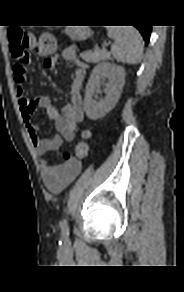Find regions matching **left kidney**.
Returning a JSON list of instances; mask_svg holds the SVG:
<instances>
[{
    "instance_id": "obj_1",
    "label": "left kidney",
    "mask_w": 184,
    "mask_h": 292,
    "mask_svg": "<svg viewBox=\"0 0 184 292\" xmlns=\"http://www.w3.org/2000/svg\"><path fill=\"white\" fill-rule=\"evenodd\" d=\"M107 79L105 98L96 101L94 95L101 92L102 80ZM125 84V70L111 62H102L94 67L86 85L84 109L91 120L104 117L116 105Z\"/></svg>"
}]
</instances>
